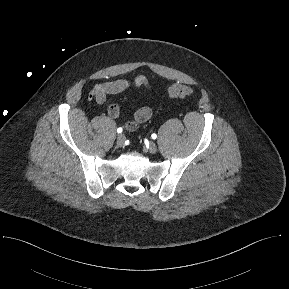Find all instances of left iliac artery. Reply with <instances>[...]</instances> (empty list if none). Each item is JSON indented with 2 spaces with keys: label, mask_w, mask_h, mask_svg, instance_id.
I'll use <instances>...</instances> for the list:
<instances>
[{
  "label": "left iliac artery",
  "mask_w": 289,
  "mask_h": 289,
  "mask_svg": "<svg viewBox=\"0 0 289 289\" xmlns=\"http://www.w3.org/2000/svg\"><path fill=\"white\" fill-rule=\"evenodd\" d=\"M151 137H152V139H156V138H157V135H156L155 133H153V134L151 135Z\"/></svg>",
  "instance_id": "44dca946"
}]
</instances>
